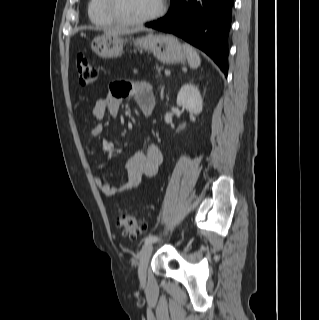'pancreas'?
Here are the masks:
<instances>
[{
	"label": "pancreas",
	"mask_w": 319,
	"mask_h": 320,
	"mask_svg": "<svg viewBox=\"0 0 319 320\" xmlns=\"http://www.w3.org/2000/svg\"><path fill=\"white\" fill-rule=\"evenodd\" d=\"M156 70H157L158 76L160 77L161 76V68L158 65H156Z\"/></svg>",
	"instance_id": "obj_1"
}]
</instances>
